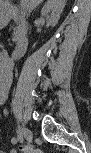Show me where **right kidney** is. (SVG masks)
<instances>
[{
	"label": "right kidney",
	"instance_id": "obj_1",
	"mask_svg": "<svg viewBox=\"0 0 91 153\" xmlns=\"http://www.w3.org/2000/svg\"><path fill=\"white\" fill-rule=\"evenodd\" d=\"M63 8L64 5L58 3V0H48L41 10V16L47 19L50 25L55 26L58 23Z\"/></svg>",
	"mask_w": 91,
	"mask_h": 153
}]
</instances>
